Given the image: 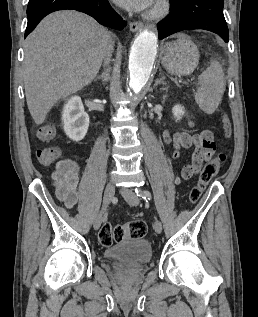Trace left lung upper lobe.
Wrapping results in <instances>:
<instances>
[{"label": "left lung upper lobe", "instance_id": "obj_1", "mask_svg": "<svg viewBox=\"0 0 258 317\" xmlns=\"http://www.w3.org/2000/svg\"><path fill=\"white\" fill-rule=\"evenodd\" d=\"M171 2H173V1H177V0H170Z\"/></svg>", "mask_w": 258, "mask_h": 317}]
</instances>
